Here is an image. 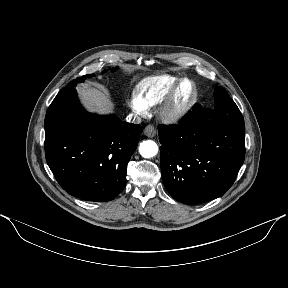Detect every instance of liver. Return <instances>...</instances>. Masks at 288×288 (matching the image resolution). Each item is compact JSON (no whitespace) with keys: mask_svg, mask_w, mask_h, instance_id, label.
I'll use <instances>...</instances> for the list:
<instances>
[{"mask_svg":"<svg viewBox=\"0 0 288 288\" xmlns=\"http://www.w3.org/2000/svg\"><path fill=\"white\" fill-rule=\"evenodd\" d=\"M79 94L84 106L99 114H109L113 110V103L108 94L91 86L79 88Z\"/></svg>","mask_w":288,"mask_h":288,"instance_id":"obj_1","label":"liver"}]
</instances>
